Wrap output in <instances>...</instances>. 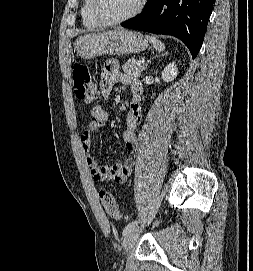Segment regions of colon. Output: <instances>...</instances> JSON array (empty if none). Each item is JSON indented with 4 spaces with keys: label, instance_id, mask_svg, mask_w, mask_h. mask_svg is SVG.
Instances as JSON below:
<instances>
[{
    "label": "colon",
    "instance_id": "1",
    "mask_svg": "<svg viewBox=\"0 0 253 271\" xmlns=\"http://www.w3.org/2000/svg\"><path fill=\"white\" fill-rule=\"evenodd\" d=\"M73 89L77 98L88 103L96 102L99 93L91 79L87 67L82 63H75L72 68ZM99 197L105 212L113 219L120 220L122 214L113 194L105 189L100 190Z\"/></svg>",
    "mask_w": 253,
    "mask_h": 271
}]
</instances>
